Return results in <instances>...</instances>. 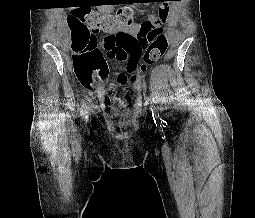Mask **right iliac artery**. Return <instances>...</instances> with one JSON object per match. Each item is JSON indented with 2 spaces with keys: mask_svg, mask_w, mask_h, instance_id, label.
<instances>
[{
  "mask_svg": "<svg viewBox=\"0 0 255 218\" xmlns=\"http://www.w3.org/2000/svg\"><path fill=\"white\" fill-rule=\"evenodd\" d=\"M87 120H88V117L86 116V117H85V121H86V123H87Z\"/></svg>",
  "mask_w": 255,
  "mask_h": 218,
  "instance_id": "obj_1",
  "label": "right iliac artery"
}]
</instances>
